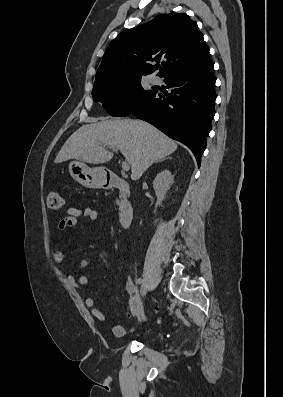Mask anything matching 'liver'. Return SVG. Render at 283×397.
Returning a JSON list of instances; mask_svg holds the SVG:
<instances>
[{
  "instance_id": "obj_1",
  "label": "liver",
  "mask_w": 283,
  "mask_h": 397,
  "mask_svg": "<svg viewBox=\"0 0 283 397\" xmlns=\"http://www.w3.org/2000/svg\"><path fill=\"white\" fill-rule=\"evenodd\" d=\"M108 146L124 155L131 166L132 180H138L154 162L177 149L175 141L144 121L104 120L76 130L62 146L55 163L76 159L103 164L113 158Z\"/></svg>"
}]
</instances>
